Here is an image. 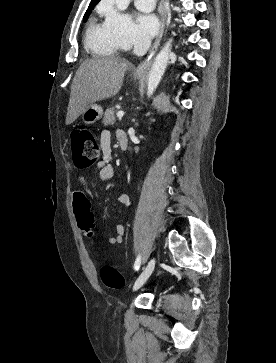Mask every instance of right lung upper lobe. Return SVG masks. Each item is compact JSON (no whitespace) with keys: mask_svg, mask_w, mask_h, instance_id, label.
<instances>
[{"mask_svg":"<svg viewBox=\"0 0 276 363\" xmlns=\"http://www.w3.org/2000/svg\"><path fill=\"white\" fill-rule=\"evenodd\" d=\"M98 2H99V0H91L90 5H89L88 8L94 7Z\"/></svg>","mask_w":276,"mask_h":363,"instance_id":"cb5924a9","label":"right lung upper lobe"}]
</instances>
